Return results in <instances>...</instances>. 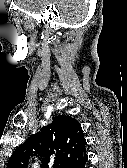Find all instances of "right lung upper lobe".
I'll use <instances>...</instances> for the list:
<instances>
[{
	"instance_id": "cb5924a9",
	"label": "right lung upper lobe",
	"mask_w": 127,
	"mask_h": 168,
	"mask_svg": "<svg viewBox=\"0 0 127 168\" xmlns=\"http://www.w3.org/2000/svg\"><path fill=\"white\" fill-rule=\"evenodd\" d=\"M52 119L13 152L7 168H28L29 158L35 154L40 157L41 168H75L87 158L80 123L64 115Z\"/></svg>"
}]
</instances>
